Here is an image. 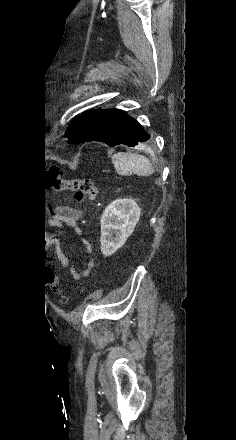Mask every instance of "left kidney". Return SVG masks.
<instances>
[{
  "label": "left kidney",
  "mask_w": 236,
  "mask_h": 440,
  "mask_svg": "<svg viewBox=\"0 0 236 440\" xmlns=\"http://www.w3.org/2000/svg\"><path fill=\"white\" fill-rule=\"evenodd\" d=\"M140 207L133 199H116L104 210L101 225V251L105 257L121 248L140 218Z\"/></svg>",
  "instance_id": "5707ae66"
}]
</instances>
